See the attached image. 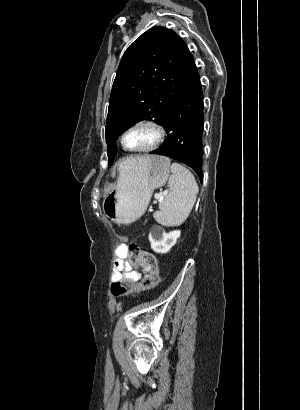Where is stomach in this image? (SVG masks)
I'll list each match as a JSON object with an SVG mask.
<instances>
[{
    "label": "stomach",
    "mask_w": 300,
    "mask_h": 410,
    "mask_svg": "<svg viewBox=\"0 0 300 410\" xmlns=\"http://www.w3.org/2000/svg\"><path fill=\"white\" fill-rule=\"evenodd\" d=\"M170 175V160L147 155L133 167H124L116 186L104 196L102 209L106 217L118 224H131L146 211L152 193L162 187Z\"/></svg>",
    "instance_id": "stomach-1"
}]
</instances>
